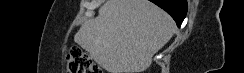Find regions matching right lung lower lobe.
<instances>
[{
  "instance_id": "98d812e1",
  "label": "right lung lower lobe",
  "mask_w": 244,
  "mask_h": 73,
  "mask_svg": "<svg viewBox=\"0 0 244 73\" xmlns=\"http://www.w3.org/2000/svg\"><path fill=\"white\" fill-rule=\"evenodd\" d=\"M166 12L176 21L178 27L182 24L187 13L186 0H150Z\"/></svg>"
}]
</instances>
